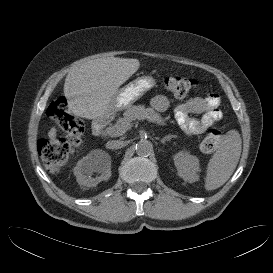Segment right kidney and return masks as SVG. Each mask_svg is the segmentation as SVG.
<instances>
[{"instance_id":"obj_1","label":"right kidney","mask_w":273,"mask_h":273,"mask_svg":"<svg viewBox=\"0 0 273 273\" xmlns=\"http://www.w3.org/2000/svg\"><path fill=\"white\" fill-rule=\"evenodd\" d=\"M100 173L99 177L91 178L94 173ZM77 182L80 185L94 187L98 182L106 180L111 175L110 158L107 154L102 153L99 156H93V153L81 159L74 169Z\"/></svg>"}]
</instances>
